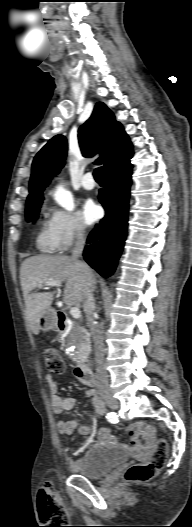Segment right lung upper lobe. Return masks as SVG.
Instances as JSON below:
<instances>
[{"label": "right lung upper lobe", "instance_id": "right-lung-upper-lobe-1", "mask_svg": "<svg viewBox=\"0 0 192 527\" xmlns=\"http://www.w3.org/2000/svg\"><path fill=\"white\" fill-rule=\"evenodd\" d=\"M79 144L85 157L101 156L95 164H104V171L111 169L132 151L131 142L112 111L98 102L91 117L78 131ZM67 142L64 136L53 137L35 156L32 164L27 205L43 200L42 192L64 166Z\"/></svg>", "mask_w": 192, "mask_h": 527}]
</instances>
